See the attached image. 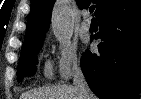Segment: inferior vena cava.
<instances>
[{
  "mask_svg": "<svg viewBox=\"0 0 141 99\" xmlns=\"http://www.w3.org/2000/svg\"><path fill=\"white\" fill-rule=\"evenodd\" d=\"M73 85L79 92L80 99H96L91 92L79 65H75L73 68Z\"/></svg>",
  "mask_w": 141,
  "mask_h": 99,
  "instance_id": "obj_1",
  "label": "inferior vena cava"
}]
</instances>
